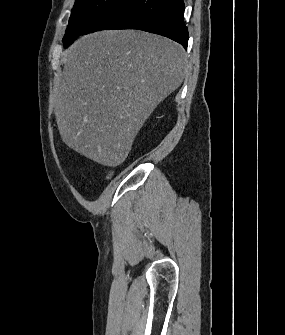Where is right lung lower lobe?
I'll use <instances>...</instances> for the list:
<instances>
[{"label":"right lung lower lobe","instance_id":"98d812e1","mask_svg":"<svg viewBox=\"0 0 285 335\" xmlns=\"http://www.w3.org/2000/svg\"><path fill=\"white\" fill-rule=\"evenodd\" d=\"M183 0H118L84 34L99 30L138 29L168 37L187 49ZM68 47V46H67Z\"/></svg>","mask_w":285,"mask_h":335}]
</instances>
